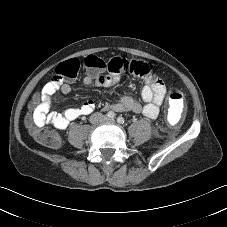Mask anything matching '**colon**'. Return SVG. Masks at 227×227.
I'll return each mask as SVG.
<instances>
[{
	"label": "colon",
	"mask_w": 227,
	"mask_h": 227,
	"mask_svg": "<svg viewBox=\"0 0 227 227\" xmlns=\"http://www.w3.org/2000/svg\"><path fill=\"white\" fill-rule=\"evenodd\" d=\"M114 66V61L107 64L102 58L95 55H88L82 60L78 58L69 59L57 66L56 75L46 85L45 91L53 93L61 86L64 80L75 79L82 68H87L91 72L98 73L106 68L113 69ZM128 69L141 76H148L151 73V69L147 64L138 61L130 63ZM167 102L169 112L172 115L181 114L185 108L184 93L182 89L176 85L171 86L168 91ZM30 132L40 144L46 147L58 148L61 144L59 135L48 128H32Z\"/></svg>",
	"instance_id": "colon-1"
}]
</instances>
